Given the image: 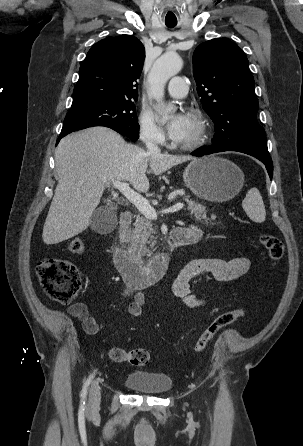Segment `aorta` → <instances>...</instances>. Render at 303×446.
I'll return each mask as SVG.
<instances>
[{
    "label": "aorta",
    "mask_w": 303,
    "mask_h": 446,
    "mask_svg": "<svg viewBox=\"0 0 303 446\" xmlns=\"http://www.w3.org/2000/svg\"><path fill=\"white\" fill-rule=\"evenodd\" d=\"M183 65L180 56L175 52H167L159 57L153 64L148 75V95L157 101L156 109L160 113H169L175 110L173 104L163 102L166 82L179 73Z\"/></svg>",
    "instance_id": "obj_1"
}]
</instances>
